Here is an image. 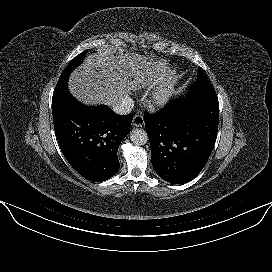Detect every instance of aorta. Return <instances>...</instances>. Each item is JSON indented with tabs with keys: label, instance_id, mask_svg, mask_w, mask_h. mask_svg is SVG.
Wrapping results in <instances>:
<instances>
[{
	"label": "aorta",
	"instance_id": "1",
	"mask_svg": "<svg viewBox=\"0 0 272 272\" xmlns=\"http://www.w3.org/2000/svg\"><path fill=\"white\" fill-rule=\"evenodd\" d=\"M130 140L134 145L141 146L147 143L148 136L145 130L136 128L131 131Z\"/></svg>",
	"mask_w": 272,
	"mask_h": 272
}]
</instances>
